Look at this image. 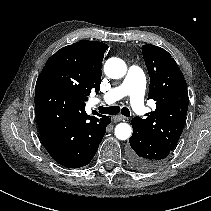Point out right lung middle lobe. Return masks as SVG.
<instances>
[{
  "label": "right lung middle lobe",
  "mask_w": 211,
  "mask_h": 211,
  "mask_svg": "<svg viewBox=\"0 0 211 211\" xmlns=\"http://www.w3.org/2000/svg\"><path fill=\"white\" fill-rule=\"evenodd\" d=\"M72 93L81 101L86 100V92L78 78L70 70L66 62L61 58H49L38 80Z\"/></svg>",
  "instance_id": "right-lung-middle-lobe-1"
}]
</instances>
